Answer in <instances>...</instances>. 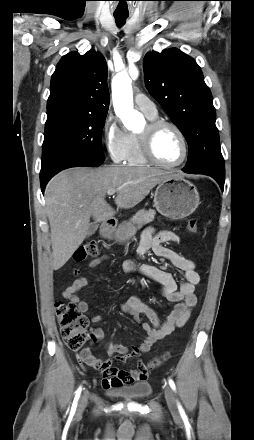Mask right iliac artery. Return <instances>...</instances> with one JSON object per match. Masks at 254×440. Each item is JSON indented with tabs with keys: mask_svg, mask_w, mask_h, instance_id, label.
<instances>
[{
	"mask_svg": "<svg viewBox=\"0 0 254 440\" xmlns=\"http://www.w3.org/2000/svg\"><path fill=\"white\" fill-rule=\"evenodd\" d=\"M81 391H82V387L80 386V387L77 389V391L75 392L76 394H75V397H74V400H73V403H72L71 414H74L75 411H76V408H77L78 400H79V398H80Z\"/></svg>",
	"mask_w": 254,
	"mask_h": 440,
	"instance_id": "right-iliac-artery-1",
	"label": "right iliac artery"
}]
</instances>
